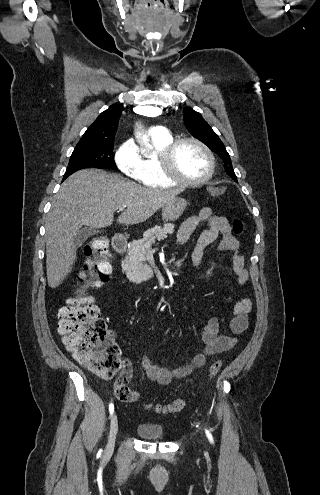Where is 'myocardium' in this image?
<instances>
[{
    "label": "myocardium",
    "instance_id": "myocardium-1",
    "mask_svg": "<svg viewBox=\"0 0 320 495\" xmlns=\"http://www.w3.org/2000/svg\"><path fill=\"white\" fill-rule=\"evenodd\" d=\"M184 143H193L197 145L206 155L209 161V170L207 174L199 179H186L182 177L175 166V155L178 148ZM160 165L163 174L176 184L183 186H198L207 183L214 175L216 170V160L213 152L202 141L194 137H183L173 140L168 144L160 154Z\"/></svg>",
    "mask_w": 320,
    "mask_h": 495
}]
</instances>
